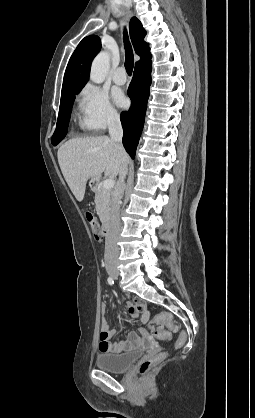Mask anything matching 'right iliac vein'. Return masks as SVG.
Wrapping results in <instances>:
<instances>
[{"label":"right iliac vein","mask_w":255,"mask_h":418,"mask_svg":"<svg viewBox=\"0 0 255 418\" xmlns=\"http://www.w3.org/2000/svg\"><path fill=\"white\" fill-rule=\"evenodd\" d=\"M108 273L112 278H117V276H118V271L115 267H109L108 268Z\"/></svg>","instance_id":"1"}]
</instances>
